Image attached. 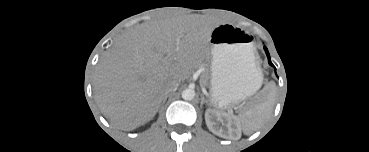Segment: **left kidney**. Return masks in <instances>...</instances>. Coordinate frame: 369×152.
<instances>
[{"mask_svg":"<svg viewBox=\"0 0 369 152\" xmlns=\"http://www.w3.org/2000/svg\"><path fill=\"white\" fill-rule=\"evenodd\" d=\"M205 121L208 129L219 137L226 139H238L240 137V125L233 116L220 113L213 109H207L205 112ZM215 121L225 124L227 129L225 130L219 127Z\"/></svg>","mask_w":369,"mask_h":152,"instance_id":"obj_1","label":"left kidney"}]
</instances>
